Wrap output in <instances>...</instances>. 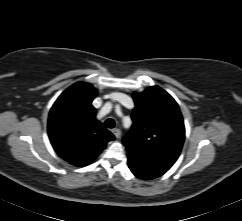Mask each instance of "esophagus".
<instances>
[{
    "label": "esophagus",
    "mask_w": 242,
    "mask_h": 221,
    "mask_svg": "<svg viewBox=\"0 0 242 221\" xmlns=\"http://www.w3.org/2000/svg\"><path fill=\"white\" fill-rule=\"evenodd\" d=\"M112 132H113V134L116 138H120V136H121V130L120 129H113Z\"/></svg>",
    "instance_id": "1"
}]
</instances>
